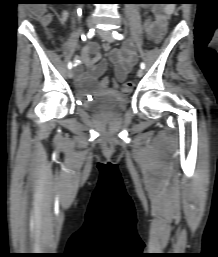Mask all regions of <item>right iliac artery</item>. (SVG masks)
Instances as JSON below:
<instances>
[{
    "mask_svg": "<svg viewBox=\"0 0 218 257\" xmlns=\"http://www.w3.org/2000/svg\"><path fill=\"white\" fill-rule=\"evenodd\" d=\"M94 34H95L94 29H90L89 32L87 33V38H89V39L92 38L94 36ZM68 68L69 69L72 68V63L71 62L68 63Z\"/></svg>",
    "mask_w": 218,
    "mask_h": 257,
    "instance_id": "1",
    "label": "right iliac artery"
}]
</instances>
